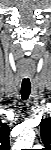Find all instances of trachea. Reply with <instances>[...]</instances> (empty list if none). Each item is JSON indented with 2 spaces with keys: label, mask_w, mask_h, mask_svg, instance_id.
Masks as SVG:
<instances>
[{
  "label": "trachea",
  "mask_w": 51,
  "mask_h": 150,
  "mask_svg": "<svg viewBox=\"0 0 51 150\" xmlns=\"http://www.w3.org/2000/svg\"><path fill=\"white\" fill-rule=\"evenodd\" d=\"M31 91V84L29 79H23L21 84V97L23 100H27Z\"/></svg>",
  "instance_id": "3493384b"
}]
</instances>
